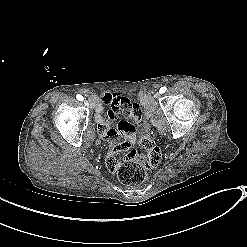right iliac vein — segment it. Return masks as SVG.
Segmentation results:
<instances>
[{
	"label": "right iliac vein",
	"mask_w": 247,
	"mask_h": 247,
	"mask_svg": "<svg viewBox=\"0 0 247 247\" xmlns=\"http://www.w3.org/2000/svg\"><path fill=\"white\" fill-rule=\"evenodd\" d=\"M84 105L89 107V105H90L89 101L88 100H84Z\"/></svg>",
	"instance_id": "1"
}]
</instances>
